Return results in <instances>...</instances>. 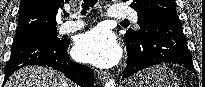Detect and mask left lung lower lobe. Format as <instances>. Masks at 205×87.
I'll return each instance as SVG.
<instances>
[{"label":"left lung lower lobe","instance_id":"1","mask_svg":"<svg viewBox=\"0 0 205 87\" xmlns=\"http://www.w3.org/2000/svg\"><path fill=\"white\" fill-rule=\"evenodd\" d=\"M127 65L122 79L160 63H177L195 71L177 13L153 17L145 27L142 39L126 42Z\"/></svg>","mask_w":205,"mask_h":87}]
</instances>
